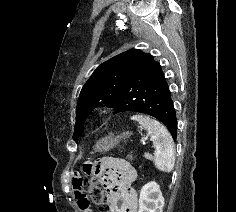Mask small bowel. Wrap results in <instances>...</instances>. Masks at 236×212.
I'll list each match as a JSON object with an SVG mask.
<instances>
[{
    "instance_id": "obj_1",
    "label": "small bowel",
    "mask_w": 236,
    "mask_h": 212,
    "mask_svg": "<svg viewBox=\"0 0 236 212\" xmlns=\"http://www.w3.org/2000/svg\"><path fill=\"white\" fill-rule=\"evenodd\" d=\"M100 173L111 190V197L108 203L109 212H138L137 194L131 187L137 177L134 168L123 159L106 158L102 161ZM81 182L82 179L77 174L74 183V194L77 203L82 212H92L88 199L81 190Z\"/></svg>"
}]
</instances>
